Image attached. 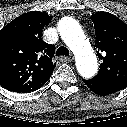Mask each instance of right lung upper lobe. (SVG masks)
Listing matches in <instances>:
<instances>
[{
	"mask_svg": "<svg viewBox=\"0 0 127 127\" xmlns=\"http://www.w3.org/2000/svg\"><path fill=\"white\" fill-rule=\"evenodd\" d=\"M47 13H24L0 31V85L13 92L37 90L48 81L55 64L53 45L45 43L42 29Z\"/></svg>",
	"mask_w": 127,
	"mask_h": 127,
	"instance_id": "1",
	"label": "right lung upper lobe"
}]
</instances>
